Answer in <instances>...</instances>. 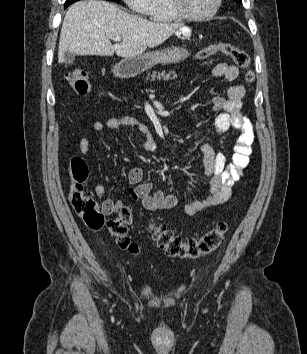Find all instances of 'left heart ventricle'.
<instances>
[{"instance_id": "left-heart-ventricle-1", "label": "left heart ventricle", "mask_w": 307, "mask_h": 354, "mask_svg": "<svg viewBox=\"0 0 307 354\" xmlns=\"http://www.w3.org/2000/svg\"><path fill=\"white\" fill-rule=\"evenodd\" d=\"M185 10L192 15L208 13L214 6L215 0H183Z\"/></svg>"}]
</instances>
